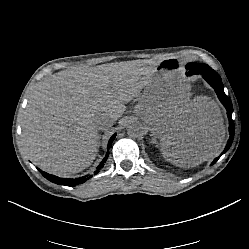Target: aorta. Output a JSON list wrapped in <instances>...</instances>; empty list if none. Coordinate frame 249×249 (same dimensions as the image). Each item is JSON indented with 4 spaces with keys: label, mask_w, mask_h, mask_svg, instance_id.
Listing matches in <instances>:
<instances>
[{
    "label": "aorta",
    "mask_w": 249,
    "mask_h": 249,
    "mask_svg": "<svg viewBox=\"0 0 249 249\" xmlns=\"http://www.w3.org/2000/svg\"><path fill=\"white\" fill-rule=\"evenodd\" d=\"M126 130L129 136L131 137H139L144 134V127L138 121H130L126 125Z\"/></svg>",
    "instance_id": "obj_1"
}]
</instances>
